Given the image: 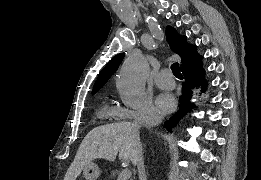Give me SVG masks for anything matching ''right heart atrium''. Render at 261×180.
I'll use <instances>...</instances> for the list:
<instances>
[{"label": "right heart atrium", "instance_id": "right-heart-atrium-1", "mask_svg": "<svg viewBox=\"0 0 261 180\" xmlns=\"http://www.w3.org/2000/svg\"><path fill=\"white\" fill-rule=\"evenodd\" d=\"M152 112L149 99H146V105H141L139 110L123 109L119 111L118 120H144ZM159 119V116L158 118ZM122 127V125H118ZM136 127H144V125H136Z\"/></svg>", "mask_w": 261, "mask_h": 180}]
</instances>
